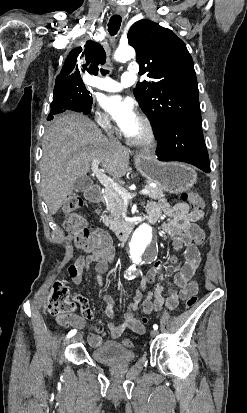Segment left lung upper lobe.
Returning <instances> with one entry per match:
<instances>
[{"label": "left lung upper lobe", "instance_id": "1", "mask_svg": "<svg viewBox=\"0 0 247 413\" xmlns=\"http://www.w3.org/2000/svg\"><path fill=\"white\" fill-rule=\"evenodd\" d=\"M128 41L136 50L139 74L148 73L152 79L138 83L134 95L154 133L177 121L201 125L194 63L185 43L150 20L133 24Z\"/></svg>", "mask_w": 247, "mask_h": 413}]
</instances>
